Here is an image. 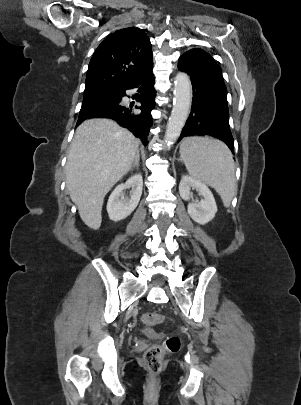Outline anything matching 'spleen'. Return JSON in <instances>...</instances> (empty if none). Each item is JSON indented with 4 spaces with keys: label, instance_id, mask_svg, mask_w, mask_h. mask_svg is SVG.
I'll list each match as a JSON object with an SVG mask.
<instances>
[{
    "label": "spleen",
    "instance_id": "1",
    "mask_svg": "<svg viewBox=\"0 0 301 405\" xmlns=\"http://www.w3.org/2000/svg\"><path fill=\"white\" fill-rule=\"evenodd\" d=\"M180 154L189 174L213 187L228 207L236 180L233 156L227 146L208 137H187L180 145Z\"/></svg>",
    "mask_w": 301,
    "mask_h": 405
}]
</instances>
